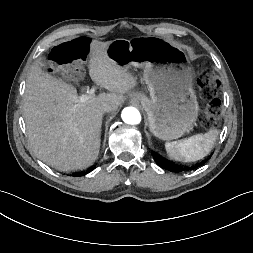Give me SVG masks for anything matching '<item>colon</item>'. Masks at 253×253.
<instances>
[{
  "label": "colon",
  "mask_w": 253,
  "mask_h": 253,
  "mask_svg": "<svg viewBox=\"0 0 253 253\" xmlns=\"http://www.w3.org/2000/svg\"><path fill=\"white\" fill-rule=\"evenodd\" d=\"M88 50L89 40L85 37H78L54 47L51 56L57 64L69 65L83 61L88 54ZM198 86L201 95L208 101L203 120L204 127L208 128L215 124L220 116V101L218 98L220 81L215 75L206 71L199 76Z\"/></svg>",
  "instance_id": "5ec220e1"
}]
</instances>
